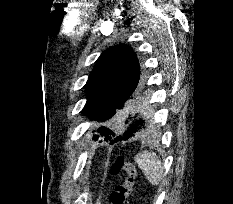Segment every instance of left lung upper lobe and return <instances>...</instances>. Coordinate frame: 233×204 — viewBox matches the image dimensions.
Returning <instances> with one entry per match:
<instances>
[{
	"label": "left lung upper lobe",
	"instance_id": "left-lung-upper-lobe-1",
	"mask_svg": "<svg viewBox=\"0 0 233 204\" xmlns=\"http://www.w3.org/2000/svg\"><path fill=\"white\" fill-rule=\"evenodd\" d=\"M140 66L133 50L126 45H115L104 51L87 81V102L84 114L91 119L105 121L122 108L128 89L137 85ZM100 137L105 141L116 137L113 129L101 126ZM98 135L93 138L98 139Z\"/></svg>",
	"mask_w": 233,
	"mask_h": 204
}]
</instances>
